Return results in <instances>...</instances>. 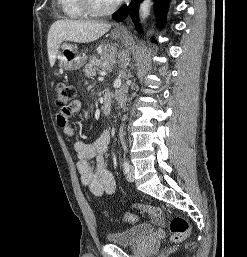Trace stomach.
Instances as JSON below:
<instances>
[{
	"mask_svg": "<svg viewBox=\"0 0 247 257\" xmlns=\"http://www.w3.org/2000/svg\"><path fill=\"white\" fill-rule=\"evenodd\" d=\"M111 37L113 40L119 41L123 40L125 34L112 32ZM116 58H119L121 62L126 61L127 52L124 50L120 52L115 51L112 59L115 60ZM57 59L59 61V65L67 71L78 70L86 62V57L78 52L77 46L68 43H64L60 46V51L58 52Z\"/></svg>",
	"mask_w": 247,
	"mask_h": 257,
	"instance_id": "obj_1",
	"label": "stomach"
}]
</instances>
